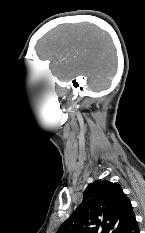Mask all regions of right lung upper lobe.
<instances>
[{
    "mask_svg": "<svg viewBox=\"0 0 145 233\" xmlns=\"http://www.w3.org/2000/svg\"><path fill=\"white\" fill-rule=\"evenodd\" d=\"M134 217L121 186L95 181L88 185L82 203L57 233H122Z\"/></svg>",
    "mask_w": 145,
    "mask_h": 233,
    "instance_id": "1",
    "label": "right lung upper lobe"
}]
</instances>
